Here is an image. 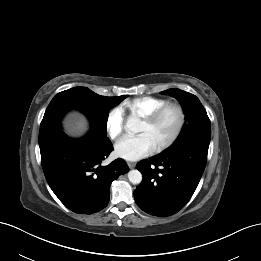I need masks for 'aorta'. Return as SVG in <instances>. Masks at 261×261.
<instances>
[{
	"mask_svg": "<svg viewBox=\"0 0 261 261\" xmlns=\"http://www.w3.org/2000/svg\"><path fill=\"white\" fill-rule=\"evenodd\" d=\"M139 121L135 118H129L126 123V129L132 132H139ZM128 179L132 184H140L142 181V174L138 170H131L128 172Z\"/></svg>",
	"mask_w": 261,
	"mask_h": 261,
	"instance_id": "1",
	"label": "aorta"
}]
</instances>
